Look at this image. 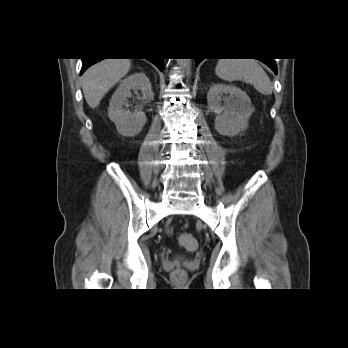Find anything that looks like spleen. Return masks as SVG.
<instances>
[{"label": "spleen", "mask_w": 348, "mask_h": 348, "mask_svg": "<svg viewBox=\"0 0 348 348\" xmlns=\"http://www.w3.org/2000/svg\"><path fill=\"white\" fill-rule=\"evenodd\" d=\"M215 73L224 81L240 80L249 83L263 95H271L273 92L267 73L255 59H220Z\"/></svg>", "instance_id": "1"}]
</instances>
